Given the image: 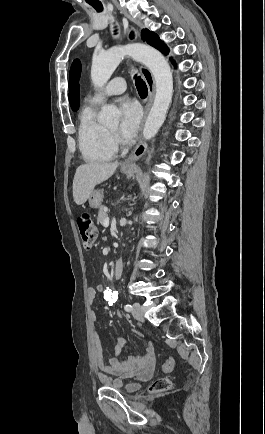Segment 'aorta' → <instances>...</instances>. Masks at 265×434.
Listing matches in <instances>:
<instances>
[{
    "label": "aorta",
    "instance_id": "aorta-1",
    "mask_svg": "<svg viewBox=\"0 0 265 434\" xmlns=\"http://www.w3.org/2000/svg\"><path fill=\"white\" fill-rule=\"evenodd\" d=\"M124 56H131L149 68L156 84V94L149 116L144 124L143 136L151 140L156 136L166 120L173 96V76L171 68L164 56L150 46L144 44H128L120 48H110L107 52L93 56L91 80L94 88H103L110 80ZM120 112L115 106H102L99 122L118 126Z\"/></svg>",
    "mask_w": 265,
    "mask_h": 434
}]
</instances>
